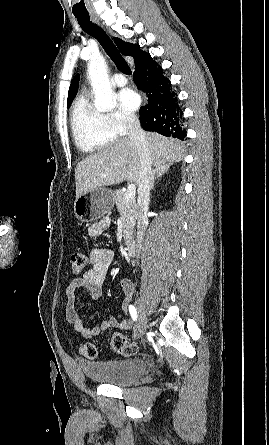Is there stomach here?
<instances>
[{"label": "stomach", "instance_id": "stomach-1", "mask_svg": "<svg viewBox=\"0 0 269 445\" xmlns=\"http://www.w3.org/2000/svg\"><path fill=\"white\" fill-rule=\"evenodd\" d=\"M114 203L113 191L100 187L76 198L74 212L81 222L91 223L107 215L114 207Z\"/></svg>", "mask_w": 269, "mask_h": 445}]
</instances>
